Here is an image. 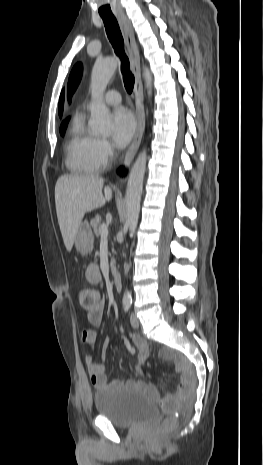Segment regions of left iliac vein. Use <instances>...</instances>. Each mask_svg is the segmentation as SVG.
Masks as SVG:
<instances>
[{"instance_id": "1", "label": "left iliac vein", "mask_w": 263, "mask_h": 465, "mask_svg": "<svg viewBox=\"0 0 263 465\" xmlns=\"http://www.w3.org/2000/svg\"><path fill=\"white\" fill-rule=\"evenodd\" d=\"M130 322L133 328H138L140 325L139 320L134 313L131 314Z\"/></svg>"}]
</instances>
